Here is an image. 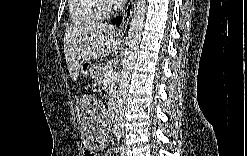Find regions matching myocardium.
Masks as SVG:
<instances>
[{"instance_id":"obj_1","label":"myocardium","mask_w":247,"mask_h":156,"mask_svg":"<svg viewBox=\"0 0 247 156\" xmlns=\"http://www.w3.org/2000/svg\"><path fill=\"white\" fill-rule=\"evenodd\" d=\"M100 14L103 16L111 15L114 12V6L108 1L100 2L99 5Z\"/></svg>"}]
</instances>
